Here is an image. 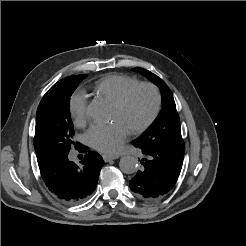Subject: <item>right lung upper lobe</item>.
Instances as JSON below:
<instances>
[{"label":"right lung upper lobe","mask_w":246,"mask_h":246,"mask_svg":"<svg viewBox=\"0 0 246 246\" xmlns=\"http://www.w3.org/2000/svg\"><path fill=\"white\" fill-rule=\"evenodd\" d=\"M36 151V150H35ZM37 154V152H36ZM37 161H38V164L41 163L42 161L39 159V156L37 155Z\"/></svg>","instance_id":"right-lung-upper-lobe-1"}]
</instances>
